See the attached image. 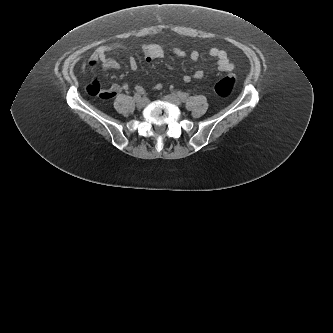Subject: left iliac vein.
<instances>
[{"mask_svg": "<svg viewBox=\"0 0 333 333\" xmlns=\"http://www.w3.org/2000/svg\"><path fill=\"white\" fill-rule=\"evenodd\" d=\"M165 101L176 105V106H180L181 105V100L174 94H170V95H166L163 98Z\"/></svg>", "mask_w": 333, "mask_h": 333, "instance_id": "left-iliac-vein-1", "label": "left iliac vein"}]
</instances>
